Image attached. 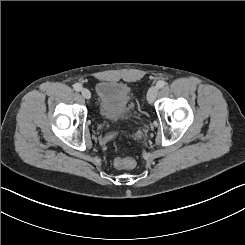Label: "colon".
Segmentation results:
<instances>
[{
	"label": "colon",
	"instance_id": "obj_1",
	"mask_svg": "<svg viewBox=\"0 0 245 245\" xmlns=\"http://www.w3.org/2000/svg\"><path fill=\"white\" fill-rule=\"evenodd\" d=\"M135 164V160L130 157H119L115 160L116 167L120 169H131Z\"/></svg>",
	"mask_w": 245,
	"mask_h": 245
}]
</instances>
